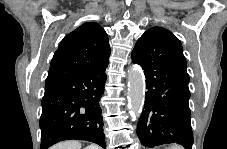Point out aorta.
<instances>
[{
    "instance_id": "aorta-1",
    "label": "aorta",
    "mask_w": 227,
    "mask_h": 149,
    "mask_svg": "<svg viewBox=\"0 0 227 149\" xmlns=\"http://www.w3.org/2000/svg\"><path fill=\"white\" fill-rule=\"evenodd\" d=\"M145 77L141 69L132 66L128 70V105L134 119L138 118L145 101Z\"/></svg>"
}]
</instances>
